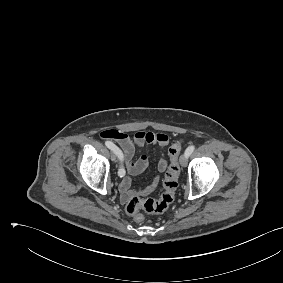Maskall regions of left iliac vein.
<instances>
[{
	"label": "left iliac vein",
	"instance_id": "1",
	"mask_svg": "<svg viewBox=\"0 0 283 283\" xmlns=\"http://www.w3.org/2000/svg\"><path fill=\"white\" fill-rule=\"evenodd\" d=\"M187 159H188V156H186L185 153L183 155H181V157H180L181 166L185 167L187 165Z\"/></svg>",
	"mask_w": 283,
	"mask_h": 283
}]
</instances>
